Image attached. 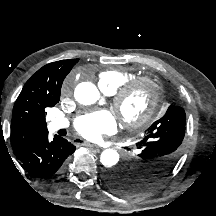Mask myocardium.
Masks as SVG:
<instances>
[{
  "mask_svg": "<svg viewBox=\"0 0 216 216\" xmlns=\"http://www.w3.org/2000/svg\"><path fill=\"white\" fill-rule=\"evenodd\" d=\"M146 85L150 92V98L144 110L137 116H128L124 113L123 105L126 97L135 89ZM162 88L157 79L150 76L134 77L119 87L112 96V105L120 114L127 127L140 128L151 120L157 110Z\"/></svg>",
  "mask_w": 216,
  "mask_h": 216,
  "instance_id": "obj_1",
  "label": "myocardium"
}]
</instances>
